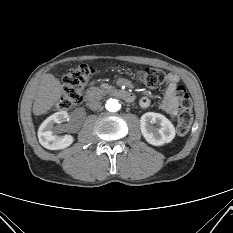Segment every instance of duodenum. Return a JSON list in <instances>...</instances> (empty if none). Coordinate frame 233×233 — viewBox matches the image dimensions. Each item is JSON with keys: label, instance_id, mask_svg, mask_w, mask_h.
<instances>
[{"label": "duodenum", "instance_id": "1", "mask_svg": "<svg viewBox=\"0 0 233 233\" xmlns=\"http://www.w3.org/2000/svg\"><path fill=\"white\" fill-rule=\"evenodd\" d=\"M109 94L116 96L118 98L123 99L124 101L131 103L134 101L135 97L132 93L128 91H124L121 89H113L108 92ZM102 92L97 89H89L85 94V99L87 101H93L97 99L99 96H101Z\"/></svg>", "mask_w": 233, "mask_h": 233}]
</instances>
